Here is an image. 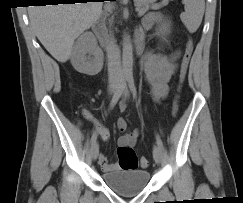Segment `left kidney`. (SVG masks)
Returning <instances> with one entry per match:
<instances>
[{
  "label": "left kidney",
  "mask_w": 243,
  "mask_h": 203,
  "mask_svg": "<svg viewBox=\"0 0 243 203\" xmlns=\"http://www.w3.org/2000/svg\"><path fill=\"white\" fill-rule=\"evenodd\" d=\"M160 33L165 35L167 33H169V25L168 24H163L160 28Z\"/></svg>",
  "instance_id": "5707ae66"
}]
</instances>
